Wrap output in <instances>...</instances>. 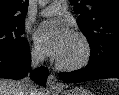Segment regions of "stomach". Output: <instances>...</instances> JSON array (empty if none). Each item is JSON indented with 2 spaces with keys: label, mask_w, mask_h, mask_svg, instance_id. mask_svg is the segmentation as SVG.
Wrapping results in <instances>:
<instances>
[{
  "label": "stomach",
  "mask_w": 119,
  "mask_h": 95,
  "mask_svg": "<svg viewBox=\"0 0 119 95\" xmlns=\"http://www.w3.org/2000/svg\"><path fill=\"white\" fill-rule=\"evenodd\" d=\"M54 95H92L91 92L82 89V88H75L72 90H65L60 93H55Z\"/></svg>",
  "instance_id": "stomach-1"
}]
</instances>
